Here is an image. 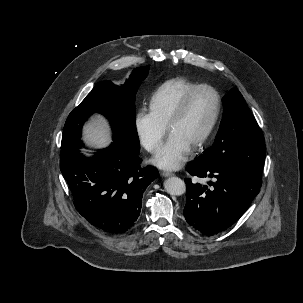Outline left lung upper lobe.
I'll use <instances>...</instances> for the list:
<instances>
[{
	"label": "left lung upper lobe",
	"instance_id": "1",
	"mask_svg": "<svg viewBox=\"0 0 303 303\" xmlns=\"http://www.w3.org/2000/svg\"><path fill=\"white\" fill-rule=\"evenodd\" d=\"M223 106V119L214 144L196 160L230 166L261 179L265 141L256 119L235 88L224 96Z\"/></svg>",
	"mask_w": 303,
	"mask_h": 303
}]
</instances>
